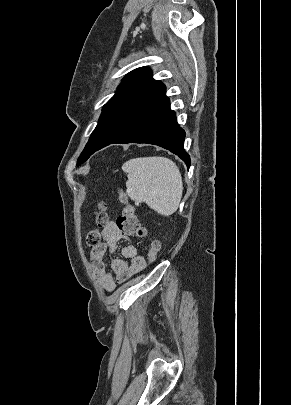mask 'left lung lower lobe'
Listing matches in <instances>:
<instances>
[{"mask_svg": "<svg viewBox=\"0 0 291 405\" xmlns=\"http://www.w3.org/2000/svg\"><path fill=\"white\" fill-rule=\"evenodd\" d=\"M165 85L158 81L143 97L123 133L111 144L147 143L161 146L181 158L190 167L184 150L185 131L170 109Z\"/></svg>", "mask_w": 291, "mask_h": 405, "instance_id": "left-lung-lower-lobe-1", "label": "left lung lower lobe"}]
</instances>
